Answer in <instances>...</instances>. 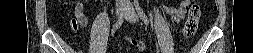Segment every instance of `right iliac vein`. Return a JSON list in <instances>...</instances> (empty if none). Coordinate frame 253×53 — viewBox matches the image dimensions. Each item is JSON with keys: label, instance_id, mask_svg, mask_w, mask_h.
<instances>
[{"label": "right iliac vein", "instance_id": "obj_1", "mask_svg": "<svg viewBox=\"0 0 253 53\" xmlns=\"http://www.w3.org/2000/svg\"><path fill=\"white\" fill-rule=\"evenodd\" d=\"M122 14H120L119 19L121 18Z\"/></svg>", "mask_w": 253, "mask_h": 53}]
</instances>
